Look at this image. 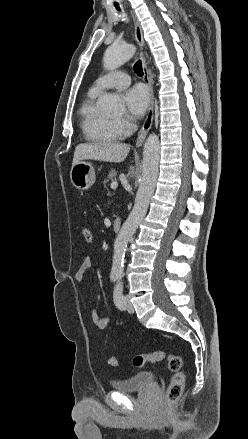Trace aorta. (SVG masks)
Instances as JSON below:
<instances>
[{"instance_id":"1","label":"aorta","mask_w":248,"mask_h":439,"mask_svg":"<svg viewBox=\"0 0 248 439\" xmlns=\"http://www.w3.org/2000/svg\"><path fill=\"white\" fill-rule=\"evenodd\" d=\"M135 51L136 48L132 44L109 46L103 57L104 68L106 70H113L120 67L134 55ZM100 106L106 112H115L121 109L120 99L114 94H105L100 99ZM159 153V138L156 134L152 133L148 136L144 144L143 170L134 207L127 220L123 223L114 243L111 269V273L114 275L121 276L123 273L124 257L128 241L145 217L150 199L154 194L158 176Z\"/></svg>"}]
</instances>
